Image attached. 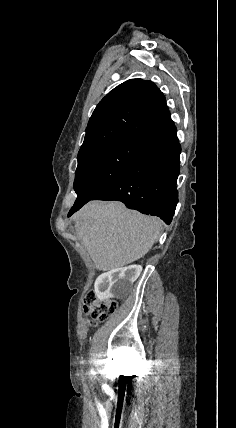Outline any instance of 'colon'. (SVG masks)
Segmentation results:
<instances>
[{
  "label": "colon",
  "instance_id": "colon-1",
  "mask_svg": "<svg viewBox=\"0 0 236 428\" xmlns=\"http://www.w3.org/2000/svg\"><path fill=\"white\" fill-rule=\"evenodd\" d=\"M117 308L116 301L98 299L93 291H89L85 296L84 311L89 314L93 325L107 320L116 312Z\"/></svg>",
  "mask_w": 236,
  "mask_h": 428
}]
</instances>
